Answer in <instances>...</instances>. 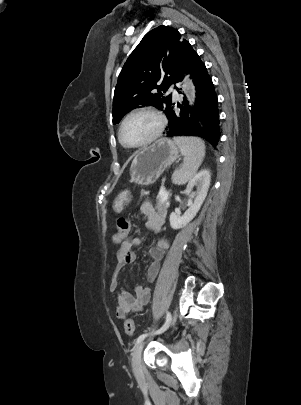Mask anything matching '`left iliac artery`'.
<instances>
[{"mask_svg": "<svg viewBox=\"0 0 301 405\" xmlns=\"http://www.w3.org/2000/svg\"><path fill=\"white\" fill-rule=\"evenodd\" d=\"M170 323H171V314H170L169 312H167L165 323H164V325H163L160 329H158V330L156 331V334H159V333L164 332V331L169 327ZM147 336H148V333H144V334L140 335V336L136 339L135 345H138V344H139L140 342H142Z\"/></svg>", "mask_w": 301, "mask_h": 405, "instance_id": "left-iliac-artery-1", "label": "left iliac artery"}]
</instances>
